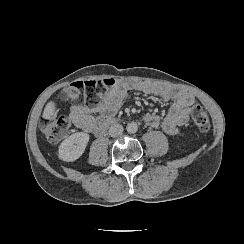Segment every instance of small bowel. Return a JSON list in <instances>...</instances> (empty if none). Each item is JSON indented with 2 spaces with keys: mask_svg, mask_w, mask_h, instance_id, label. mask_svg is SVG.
I'll return each instance as SVG.
<instances>
[{
  "mask_svg": "<svg viewBox=\"0 0 244 244\" xmlns=\"http://www.w3.org/2000/svg\"><path fill=\"white\" fill-rule=\"evenodd\" d=\"M132 93H144L158 96L171 105L161 118L156 113H147L144 122L152 127H162L171 136L178 135L180 128L186 124L195 105L194 95L185 89L148 81L121 79L115 81L101 100L94 106L77 103L70 108V117L74 126L92 135H101L112 122L122 103ZM97 115V116H95Z\"/></svg>",
  "mask_w": 244,
  "mask_h": 244,
  "instance_id": "obj_1",
  "label": "small bowel"
}]
</instances>
